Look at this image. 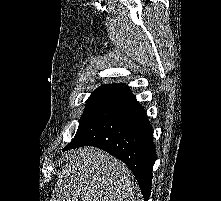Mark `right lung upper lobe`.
I'll use <instances>...</instances> for the list:
<instances>
[{
    "mask_svg": "<svg viewBox=\"0 0 221 201\" xmlns=\"http://www.w3.org/2000/svg\"><path fill=\"white\" fill-rule=\"evenodd\" d=\"M99 88H111V89L119 90V89L123 88V85L122 84H110V85L100 86Z\"/></svg>",
    "mask_w": 221,
    "mask_h": 201,
    "instance_id": "cb5924a9",
    "label": "right lung upper lobe"
}]
</instances>
